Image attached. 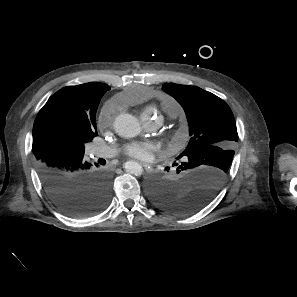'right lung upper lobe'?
<instances>
[{
    "mask_svg": "<svg viewBox=\"0 0 297 297\" xmlns=\"http://www.w3.org/2000/svg\"><path fill=\"white\" fill-rule=\"evenodd\" d=\"M107 90H110L108 85L91 82L64 87L49 98L33 126V152L37 163L53 152L67 153L55 149L56 135L67 133L78 137L95 133L96 111Z\"/></svg>",
    "mask_w": 297,
    "mask_h": 297,
    "instance_id": "obj_1",
    "label": "right lung upper lobe"
}]
</instances>
